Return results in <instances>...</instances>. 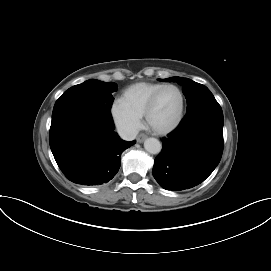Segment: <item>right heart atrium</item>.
Masks as SVG:
<instances>
[{"label":"right heart atrium","instance_id":"1","mask_svg":"<svg viewBox=\"0 0 271 271\" xmlns=\"http://www.w3.org/2000/svg\"><path fill=\"white\" fill-rule=\"evenodd\" d=\"M110 113L116 128L124 137L132 138L140 130L141 116L128 109L120 99L113 102Z\"/></svg>","mask_w":271,"mask_h":271}]
</instances>
